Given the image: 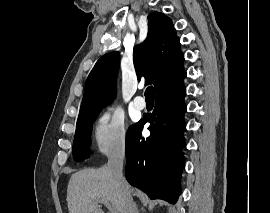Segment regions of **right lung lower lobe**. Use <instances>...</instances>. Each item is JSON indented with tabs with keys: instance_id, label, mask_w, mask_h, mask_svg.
I'll return each instance as SVG.
<instances>
[{
	"instance_id": "98d812e1",
	"label": "right lung lower lobe",
	"mask_w": 270,
	"mask_h": 213,
	"mask_svg": "<svg viewBox=\"0 0 270 213\" xmlns=\"http://www.w3.org/2000/svg\"><path fill=\"white\" fill-rule=\"evenodd\" d=\"M186 72L156 91L155 109L131 126L126 136L127 181L152 199H163L174 204L180 193V175L185 146L183 130L186 105ZM150 122V136L143 138L141 131Z\"/></svg>"
}]
</instances>
